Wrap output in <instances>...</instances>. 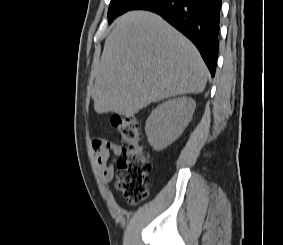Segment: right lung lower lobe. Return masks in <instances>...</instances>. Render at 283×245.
<instances>
[{
	"mask_svg": "<svg viewBox=\"0 0 283 245\" xmlns=\"http://www.w3.org/2000/svg\"><path fill=\"white\" fill-rule=\"evenodd\" d=\"M221 5V0H142L131 10L161 15L196 45L214 76Z\"/></svg>",
	"mask_w": 283,
	"mask_h": 245,
	"instance_id": "98d812e1",
	"label": "right lung lower lobe"
}]
</instances>
